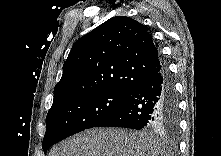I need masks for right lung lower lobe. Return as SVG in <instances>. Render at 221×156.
<instances>
[{
    "label": "right lung lower lobe",
    "instance_id": "right-lung-lower-lobe-1",
    "mask_svg": "<svg viewBox=\"0 0 221 156\" xmlns=\"http://www.w3.org/2000/svg\"><path fill=\"white\" fill-rule=\"evenodd\" d=\"M178 98L172 78L163 68L140 83L129 98L96 127L153 128L177 132Z\"/></svg>",
    "mask_w": 221,
    "mask_h": 156
}]
</instances>
